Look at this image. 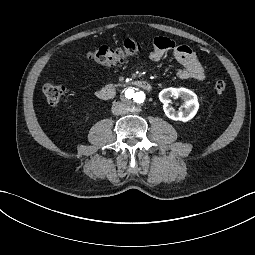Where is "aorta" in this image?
Wrapping results in <instances>:
<instances>
[{"label":"aorta","instance_id":"1","mask_svg":"<svg viewBox=\"0 0 255 255\" xmlns=\"http://www.w3.org/2000/svg\"><path fill=\"white\" fill-rule=\"evenodd\" d=\"M125 103L130 107L138 108L145 102V93L138 88L129 87L123 94Z\"/></svg>","mask_w":255,"mask_h":255}]
</instances>
